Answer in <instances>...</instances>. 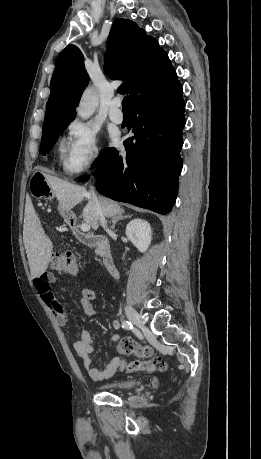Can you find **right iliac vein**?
Instances as JSON below:
<instances>
[{"label": "right iliac vein", "instance_id": "1", "mask_svg": "<svg viewBox=\"0 0 261 459\" xmlns=\"http://www.w3.org/2000/svg\"><path fill=\"white\" fill-rule=\"evenodd\" d=\"M125 313L127 318L137 327L144 329V325L140 319L138 312L131 306L125 307Z\"/></svg>", "mask_w": 261, "mask_h": 459}]
</instances>
